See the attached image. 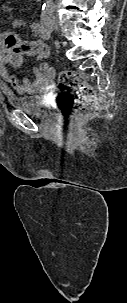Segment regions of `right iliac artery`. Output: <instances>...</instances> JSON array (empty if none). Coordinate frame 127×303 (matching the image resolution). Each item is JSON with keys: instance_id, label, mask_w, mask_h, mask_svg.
<instances>
[{"instance_id": "1", "label": "right iliac artery", "mask_w": 127, "mask_h": 303, "mask_svg": "<svg viewBox=\"0 0 127 303\" xmlns=\"http://www.w3.org/2000/svg\"><path fill=\"white\" fill-rule=\"evenodd\" d=\"M42 33L44 39L48 40L51 36L50 14L41 16Z\"/></svg>"}]
</instances>
